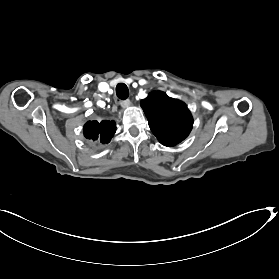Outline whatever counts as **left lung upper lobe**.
Masks as SVG:
<instances>
[{"mask_svg":"<svg viewBox=\"0 0 279 279\" xmlns=\"http://www.w3.org/2000/svg\"><path fill=\"white\" fill-rule=\"evenodd\" d=\"M141 107L150 129L161 144L172 147L189 135L193 118L183 102L164 92L153 91L141 101Z\"/></svg>","mask_w":279,"mask_h":279,"instance_id":"5c2ea615","label":"left lung upper lobe"}]
</instances>
